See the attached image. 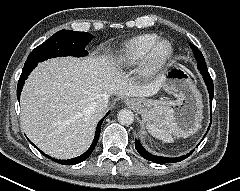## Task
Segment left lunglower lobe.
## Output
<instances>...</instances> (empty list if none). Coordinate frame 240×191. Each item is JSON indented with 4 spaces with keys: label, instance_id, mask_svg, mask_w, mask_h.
<instances>
[{
    "label": "left lung lower lobe",
    "instance_id": "obj_1",
    "mask_svg": "<svg viewBox=\"0 0 240 191\" xmlns=\"http://www.w3.org/2000/svg\"><path fill=\"white\" fill-rule=\"evenodd\" d=\"M198 69L201 72V75L203 76V79L205 81V84L207 85L208 92H209V98H210V105L212 106V100H213V95H214V90H213V81L211 79V76L209 72L207 71V66L206 63H197ZM211 125V122H210ZM210 127V126H209ZM209 130V128H208ZM206 134L204 135V137ZM203 137V139H204ZM200 144V143H199ZM135 148L138 151V153L143 156L145 159L150 160L155 163H175V162H180L181 160H184L188 156L191 155V153L194 151L192 150L190 153L180 156V157H175V158H168V157H160V156H155L147 152L139 142V140L135 141Z\"/></svg>",
    "mask_w": 240,
    "mask_h": 191
}]
</instances>
